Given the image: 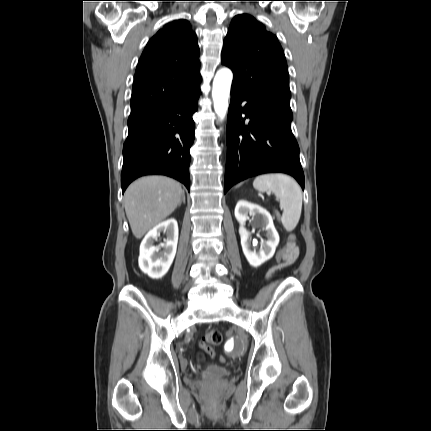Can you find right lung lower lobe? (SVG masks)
<instances>
[{
  "label": "right lung lower lobe",
  "mask_w": 431,
  "mask_h": 431,
  "mask_svg": "<svg viewBox=\"0 0 431 431\" xmlns=\"http://www.w3.org/2000/svg\"><path fill=\"white\" fill-rule=\"evenodd\" d=\"M200 82L175 99L128 118V137L123 146L121 186L124 193L136 178L162 174L177 179L190 189V153L200 96Z\"/></svg>",
  "instance_id": "right-lung-lower-lobe-1"
}]
</instances>
